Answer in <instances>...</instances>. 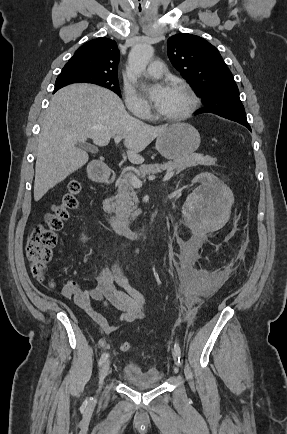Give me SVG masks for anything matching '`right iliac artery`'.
Returning a JSON list of instances; mask_svg holds the SVG:
<instances>
[{
  "mask_svg": "<svg viewBox=\"0 0 287 434\" xmlns=\"http://www.w3.org/2000/svg\"><path fill=\"white\" fill-rule=\"evenodd\" d=\"M107 358H108V353L104 352L100 357L98 366H101L106 361Z\"/></svg>",
  "mask_w": 287,
  "mask_h": 434,
  "instance_id": "82829eb1",
  "label": "right iliac artery"
}]
</instances>
